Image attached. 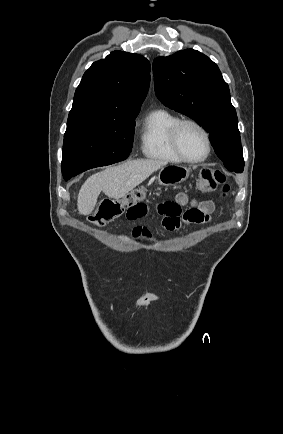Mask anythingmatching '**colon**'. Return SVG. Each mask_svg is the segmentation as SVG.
I'll return each mask as SVG.
<instances>
[{
  "mask_svg": "<svg viewBox=\"0 0 283 434\" xmlns=\"http://www.w3.org/2000/svg\"><path fill=\"white\" fill-rule=\"evenodd\" d=\"M200 186L205 191H214L221 186L223 194H226L229 190L225 175L219 170L209 168L202 169L200 173ZM144 198L145 189L139 187L121 199H104L100 202L95 213L89 217V221L97 226L104 225L121 216L125 210Z\"/></svg>",
  "mask_w": 283,
  "mask_h": 434,
  "instance_id": "colon-1",
  "label": "colon"
}]
</instances>
